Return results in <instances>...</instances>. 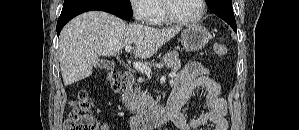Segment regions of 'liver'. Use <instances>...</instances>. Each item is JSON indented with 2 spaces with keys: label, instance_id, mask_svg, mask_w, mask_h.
<instances>
[{
  "label": "liver",
  "instance_id": "6515ba94",
  "mask_svg": "<svg viewBox=\"0 0 299 130\" xmlns=\"http://www.w3.org/2000/svg\"><path fill=\"white\" fill-rule=\"evenodd\" d=\"M179 31L180 27L158 29L126 24L102 11L85 12L72 19L59 37L58 57L64 85L90 76L100 56H116L131 43L135 44L136 57L150 58Z\"/></svg>",
  "mask_w": 299,
  "mask_h": 130
}]
</instances>
